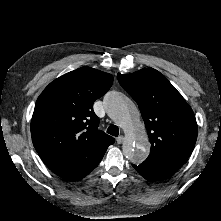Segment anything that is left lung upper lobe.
<instances>
[{
	"instance_id": "left-lung-upper-lobe-1",
	"label": "left lung upper lobe",
	"mask_w": 221,
	"mask_h": 221,
	"mask_svg": "<svg viewBox=\"0 0 221 221\" xmlns=\"http://www.w3.org/2000/svg\"><path fill=\"white\" fill-rule=\"evenodd\" d=\"M120 85L137 102L151 142L142 163L175 173L191 154L197 139L194 112L160 72L143 68L117 74Z\"/></svg>"
}]
</instances>
